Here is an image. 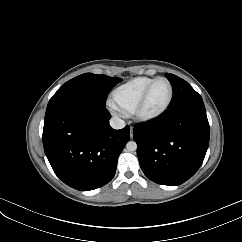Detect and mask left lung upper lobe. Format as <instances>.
Wrapping results in <instances>:
<instances>
[{"label":"left lung upper lobe","mask_w":242,"mask_h":242,"mask_svg":"<svg viewBox=\"0 0 242 242\" xmlns=\"http://www.w3.org/2000/svg\"><path fill=\"white\" fill-rule=\"evenodd\" d=\"M166 77L173 87V98L169 108L188 101L202 100L201 96L185 80L170 73H166Z\"/></svg>","instance_id":"1"}]
</instances>
